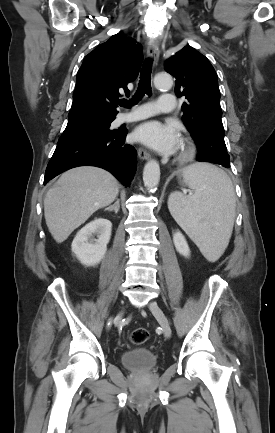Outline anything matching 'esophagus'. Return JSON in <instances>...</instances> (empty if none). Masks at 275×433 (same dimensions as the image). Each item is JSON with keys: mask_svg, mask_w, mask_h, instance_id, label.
Here are the masks:
<instances>
[{"mask_svg": "<svg viewBox=\"0 0 275 433\" xmlns=\"http://www.w3.org/2000/svg\"><path fill=\"white\" fill-rule=\"evenodd\" d=\"M159 55H160L159 43L157 40H154L152 43L149 44L147 48V56L151 58L153 64L155 65L158 62ZM137 152L139 158L142 160H148L150 158V153L142 147H139L137 149Z\"/></svg>", "mask_w": 275, "mask_h": 433, "instance_id": "obj_1", "label": "esophagus"}]
</instances>
